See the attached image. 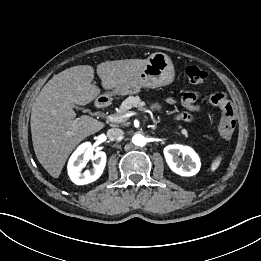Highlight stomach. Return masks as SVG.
Returning a JSON list of instances; mask_svg holds the SVG:
<instances>
[{"label":"stomach","instance_id":"1","mask_svg":"<svg viewBox=\"0 0 261 261\" xmlns=\"http://www.w3.org/2000/svg\"><path fill=\"white\" fill-rule=\"evenodd\" d=\"M175 71L168 55L162 52L152 54L143 69L131 80L117 86L113 94L133 95L141 88H157L167 86L174 80Z\"/></svg>","mask_w":261,"mask_h":261}]
</instances>
